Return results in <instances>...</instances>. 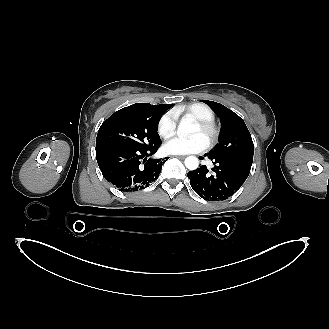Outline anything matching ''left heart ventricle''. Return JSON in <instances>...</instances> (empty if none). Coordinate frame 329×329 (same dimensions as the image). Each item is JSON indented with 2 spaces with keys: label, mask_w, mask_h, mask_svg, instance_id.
<instances>
[{
  "label": "left heart ventricle",
  "mask_w": 329,
  "mask_h": 329,
  "mask_svg": "<svg viewBox=\"0 0 329 329\" xmlns=\"http://www.w3.org/2000/svg\"><path fill=\"white\" fill-rule=\"evenodd\" d=\"M196 134L201 135L206 141L208 140V135L205 132H203L196 124H194L190 131V135L192 136Z\"/></svg>",
  "instance_id": "1"
}]
</instances>
